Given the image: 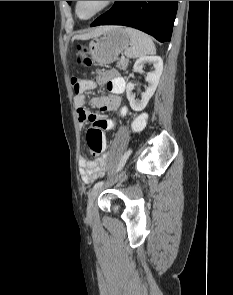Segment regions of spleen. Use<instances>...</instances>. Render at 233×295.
Instances as JSON below:
<instances>
[{
  "instance_id": "1",
  "label": "spleen",
  "mask_w": 233,
  "mask_h": 295,
  "mask_svg": "<svg viewBox=\"0 0 233 295\" xmlns=\"http://www.w3.org/2000/svg\"><path fill=\"white\" fill-rule=\"evenodd\" d=\"M125 31L129 35L132 43V47L125 51L127 57L138 58L147 54H155V45L150 36L131 27H126Z\"/></svg>"
}]
</instances>
